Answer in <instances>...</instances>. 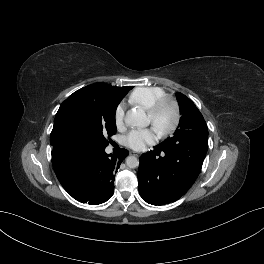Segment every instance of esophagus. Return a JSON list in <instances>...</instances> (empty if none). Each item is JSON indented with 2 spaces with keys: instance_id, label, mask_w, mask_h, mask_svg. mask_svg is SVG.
Instances as JSON below:
<instances>
[{
  "instance_id": "34e87169",
  "label": "esophagus",
  "mask_w": 264,
  "mask_h": 264,
  "mask_svg": "<svg viewBox=\"0 0 264 264\" xmlns=\"http://www.w3.org/2000/svg\"><path fill=\"white\" fill-rule=\"evenodd\" d=\"M130 154H131V155L138 156V154H137V153H135V152H130Z\"/></svg>"
}]
</instances>
